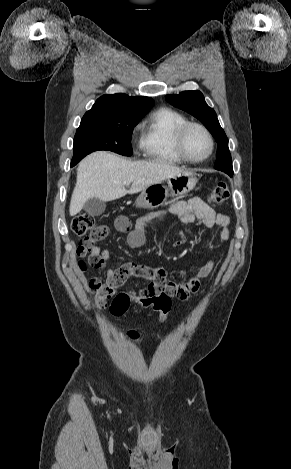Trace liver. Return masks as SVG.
Listing matches in <instances>:
<instances>
[{
    "label": "liver",
    "instance_id": "6515ba94",
    "mask_svg": "<svg viewBox=\"0 0 291 469\" xmlns=\"http://www.w3.org/2000/svg\"><path fill=\"white\" fill-rule=\"evenodd\" d=\"M181 172V168L162 162L131 161L106 151L94 152L77 168L69 213L71 216L78 214L90 198L104 202L116 200ZM129 184H132L131 188L126 190Z\"/></svg>",
    "mask_w": 291,
    "mask_h": 469
}]
</instances>
